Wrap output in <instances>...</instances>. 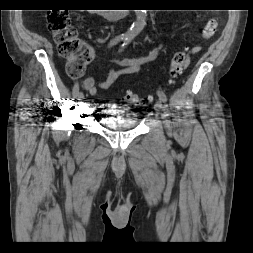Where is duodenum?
Wrapping results in <instances>:
<instances>
[{
    "instance_id": "1",
    "label": "duodenum",
    "mask_w": 253,
    "mask_h": 253,
    "mask_svg": "<svg viewBox=\"0 0 253 253\" xmlns=\"http://www.w3.org/2000/svg\"><path fill=\"white\" fill-rule=\"evenodd\" d=\"M100 14L109 20H119L124 18L128 12L123 9H105Z\"/></svg>"
}]
</instances>
